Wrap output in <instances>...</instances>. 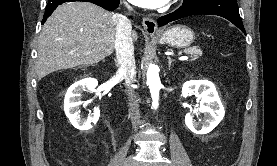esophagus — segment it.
I'll use <instances>...</instances> for the list:
<instances>
[{
  "mask_svg": "<svg viewBox=\"0 0 277 166\" xmlns=\"http://www.w3.org/2000/svg\"><path fill=\"white\" fill-rule=\"evenodd\" d=\"M142 25L145 31L150 35H157L161 33L156 21L150 17L143 18Z\"/></svg>",
  "mask_w": 277,
  "mask_h": 166,
  "instance_id": "obj_1",
  "label": "esophagus"
}]
</instances>
